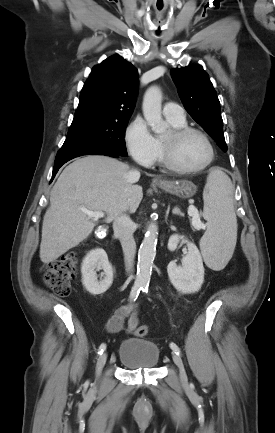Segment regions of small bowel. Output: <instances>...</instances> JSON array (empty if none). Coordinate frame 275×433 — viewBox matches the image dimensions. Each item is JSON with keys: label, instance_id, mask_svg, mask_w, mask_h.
Listing matches in <instances>:
<instances>
[{"label": "small bowel", "instance_id": "obj_1", "mask_svg": "<svg viewBox=\"0 0 275 433\" xmlns=\"http://www.w3.org/2000/svg\"><path fill=\"white\" fill-rule=\"evenodd\" d=\"M127 321V333L131 334L139 324V306L136 303L127 304L116 309L114 314L107 321L108 332L117 333Z\"/></svg>", "mask_w": 275, "mask_h": 433}]
</instances>
